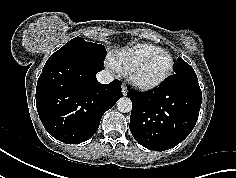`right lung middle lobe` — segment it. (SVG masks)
Returning a JSON list of instances; mask_svg holds the SVG:
<instances>
[{
	"label": "right lung middle lobe",
	"instance_id": "obj_1",
	"mask_svg": "<svg viewBox=\"0 0 236 178\" xmlns=\"http://www.w3.org/2000/svg\"><path fill=\"white\" fill-rule=\"evenodd\" d=\"M71 53H88L104 59L106 55V49L102 44L86 42L81 37H75L74 39L68 41L62 48L57 50L51 56Z\"/></svg>",
	"mask_w": 236,
	"mask_h": 178
}]
</instances>
